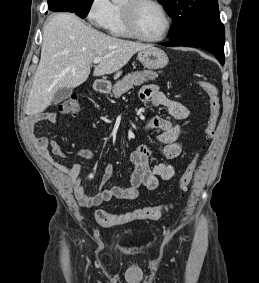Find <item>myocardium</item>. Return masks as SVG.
Instances as JSON below:
<instances>
[{
	"mask_svg": "<svg viewBox=\"0 0 259 283\" xmlns=\"http://www.w3.org/2000/svg\"><path fill=\"white\" fill-rule=\"evenodd\" d=\"M145 3H149L157 6L165 16L166 29L160 37H156V38L148 37L142 34L141 31L139 30L137 23V11L138 8ZM121 6H122L125 25L132 36L146 42H160L169 35L172 27V18L165 5L161 3L159 0H124Z\"/></svg>",
	"mask_w": 259,
	"mask_h": 283,
	"instance_id": "f54148a6",
	"label": "myocardium"
}]
</instances>
